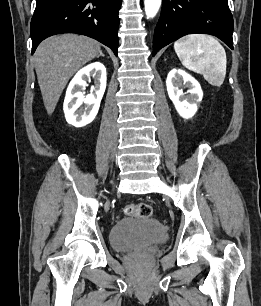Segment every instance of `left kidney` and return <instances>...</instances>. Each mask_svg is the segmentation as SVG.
Segmentation results:
<instances>
[{"label": "left kidney", "mask_w": 261, "mask_h": 306, "mask_svg": "<svg viewBox=\"0 0 261 306\" xmlns=\"http://www.w3.org/2000/svg\"><path fill=\"white\" fill-rule=\"evenodd\" d=\"M166 86L169 98L178 114L185 119L192 118L203 98V91L198 81L181 69H173L167 76ZM183 86L189 88L188 95L183 93L181 89Z\"/></svg>", "instance_id": "left-kidney-1"}]
</instances>
